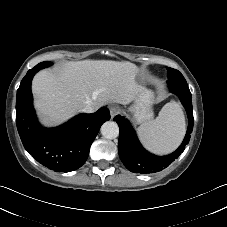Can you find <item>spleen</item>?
<instances>
[{
	"label": "spleen",
	"instance_id": "obj_1",
	"mask_svg": "<svg viewBox=\"0 0 227 227\" xmlns=\"http://www.w3.org/2000/svg\"><path fill=\"white\" fill-rule=\"evenodd\" d=\"M185 131L184 114L175 101L165 104L154 120L144 122L137 129L144 146L157 154H168L175 150Z\"/></svg>",
	"mask_w": 227,
	"mask_h": 227
}]
</instances>
